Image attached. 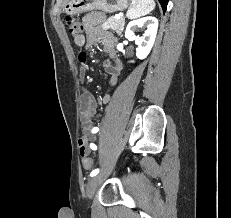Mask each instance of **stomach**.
Instances as JSON below:
<instances>
[{
    "label": "stomach",
    "mask_w": 231,
    "mask_h": 218,
    "mask_svg": "<svg viewBox=\"0 0 231 218\" xmlns=\"http://www.w3.org/2000/svg\"><path fill=\"white\" fill-rule=\"evenodd\" d=\"M128 3L129 0H65L64 10L69 15L92 10L115 13L125 10Z\"/></svg>",
    "instance_id": "stomach-1"
}]
</instances>
